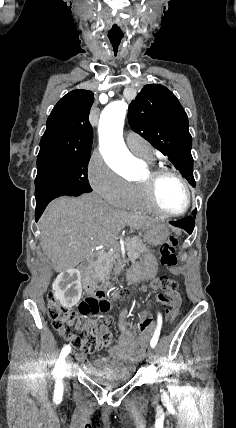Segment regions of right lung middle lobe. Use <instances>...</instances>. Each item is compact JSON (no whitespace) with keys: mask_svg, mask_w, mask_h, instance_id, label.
Wrapping results in <instances>:
<instances>
[{"mask_svg":"<svg viewBox=\"0 0 236 428\" xmlns=\"http://www.w3.org/2000/svg\"><path fill=\"white\" fill-rule=\"evenodd\" d=\"M90 153H39L35 179L36 203L52 197L91 192L87 177Z\"/></svg>","mask_w":236,"mask_h":428,"instance_id":"1","label":"right lung middle lobe"}]
</instances>
